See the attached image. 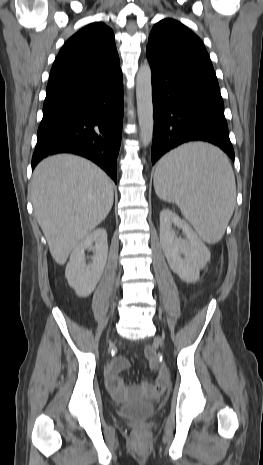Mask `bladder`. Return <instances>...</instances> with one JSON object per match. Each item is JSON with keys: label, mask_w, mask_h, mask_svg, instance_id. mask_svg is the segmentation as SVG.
<instances>
[{"label": "bladder", "mask_w": 263, "mask_h": 465, "mask_svg": "<svg viewBox=\"0 0 263 465\" xmlns=\"http://www.w3.org/2000/svg\"><path fill=\"white\" fill-rule=\"evenodd\" d=\"M155 410V405L151 402L133 401L120 406L119 414L130 419H145L151 417Z\"/></svg>", "instance_id": "obj_1"}]
</instances>
